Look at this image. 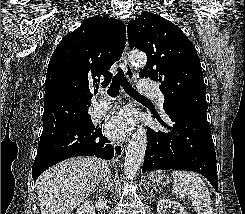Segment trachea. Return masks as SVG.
Here are the masks:
<instances>
[{"instance_id":"obj_1","label":"trachea","mask_w":245,"mask_h":214,"mask_svg":"<svg viewBox=\"0 0 245 214\" xmlns=\"http://www.w3.org/2000/svg\"><path fill=\"white\" fill-rule=\"evenodd\" d=\"M120 86L123 87V89L129 96L147 100L146 97L142 96L130 85V83L125 78L122 69L118 68V73L113 77L112 83L107 90V94L110 97H116L119 93Z\"/></svg>"}]
</instances>
